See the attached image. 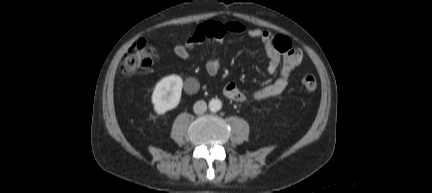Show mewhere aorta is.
I'll return each mask as SVG.
<instances>
[{
  "mask_svg": "<svg viewBox=\"0 0 432 193\" xmlns=\"http://www.w3.org/2000/svg\"><path fill=\"white\" fill-rule=\"evenodd\" d=\"M209 108L214 112L219 111L222 108V102L217 98L211 99L209 101Z\"/></svg>",
  "mask_w": 432,
  "mask_h": 193,
  "instance_id": "obj_1",
  "label": "aorta"
}]
</instances>
